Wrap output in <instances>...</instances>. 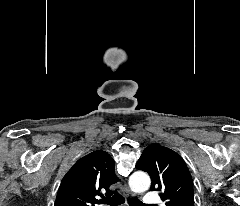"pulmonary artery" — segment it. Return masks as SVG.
Listing matches in <instances>:
<instances>
[{"label":"pulmonary artery","mask_w":240,"mask_h":206,"mask_svg":"<svg viewBox=\"0 0 240 206\" xmlns=\"http://www.w3.org/2000/svg\"><path fill=\"white\" fill-rule=\"evenodd\" d=\"M160 201L159 196L154 192H149L144 197V203L147 205H154Z\"/></svg>","instance_id":"pulmonary-artery-1"}]
</instances>
